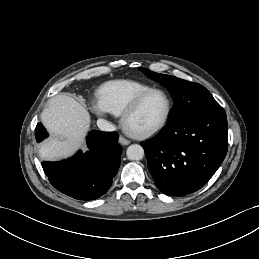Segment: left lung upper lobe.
Listing matches in <instances>:
<instances>
[{"mask_svg":"<svg viewBox=\"0 0 259 259\" xmlns=\"http://www.w3.org/2000/svg\"><path fill=\"white\" fill-rule=\"evenodd\" d=\"M149 78L166 86L175 101L168 124L221 107L202 85L140 68Z\"/></svg>","mask_w":259,"mask_h":259,"instance_id":"obj_1","label":"left lung upper lobe"}]
</instances>
